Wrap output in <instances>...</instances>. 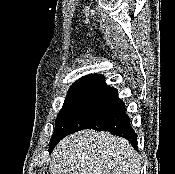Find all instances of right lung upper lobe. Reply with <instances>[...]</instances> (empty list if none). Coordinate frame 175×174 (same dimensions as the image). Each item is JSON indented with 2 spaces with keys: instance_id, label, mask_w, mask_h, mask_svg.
<instances>
[{
  "instance_id": "right-lung-upper-lobe-1",
  "label": "right lung upper lobe",
  "mask_w": 175,
  "mask_h": 174,
  "mask_svg": "<svg viewBox=\"0 0 175 174\" xmlns=\"http://www.w3.org/2000/svg\"><path fill=\"white\" fill-rule=\"evenodd\" d=\"M105 77L100 74H90L77 80L69 89V94H90L103 84Z\"/></svg>"
}]
</instances>
